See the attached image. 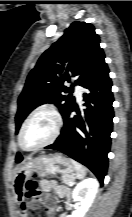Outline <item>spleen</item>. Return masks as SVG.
<instances>
[{
  "instance_id": "spleen-1",
  "label": "spleen",
  "mask_w": 132,
  "mask_h": 217,
  "mask_svg": "<svg viewBox=\"0 0 132 217\" xmlns=\"http://www.w3.org/2000/svg\"><path fill=\"white\" fill-rule=\"evenodd\" d=\"M71 162H72V164L76 170L77 178H79V179L84 178L86 176V172H87L86 168L75 160L71 159Z\"/></svg>"
}]
</instances>
